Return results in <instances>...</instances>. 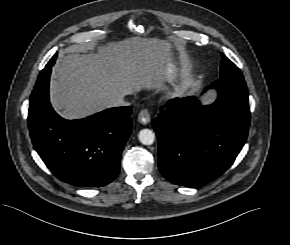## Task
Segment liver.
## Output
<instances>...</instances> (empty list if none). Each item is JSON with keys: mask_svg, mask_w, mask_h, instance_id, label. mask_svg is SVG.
I'll return each instance as SVG.
<instances>
[{"mask_svg": "<svg viewBox=\"0 0 290 245\" xmlns=\"http://www.w3.org/2000/svg\"><path fill=\"white\" fill-rule=\"evenodd\" d=\"M97 53L62 56L53 68L50 98L66 119H78L111 107L118 96L158 87L174 66H164L157 42L139 37L95 46Z\"/></svg>", "mask_w": 290, "mask_h": 245, "instance_id": "1", "label": "liver"}]
</instances>
